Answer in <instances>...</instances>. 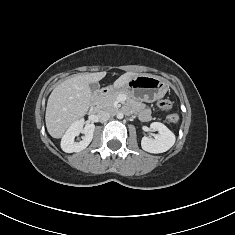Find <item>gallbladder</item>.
Returning <instances> with one entry per match:
<instances>
[{
	"mask_svg": "<svg viewBox=\"0 0 235 235\" xmlns=\"http://www.w3.org/2000/svg\"><path fill=\"white\" fill-rule=\"evenodd\" d=\"M89 87L91 89L92 92H95L97 89H99V84L94 82V83H90Z\"/></svg>",
	"mask_w": 235,
	"mask_h": 235,
	"instance_id": "1",
	"label": "gallbladder"
}]
</instances>
